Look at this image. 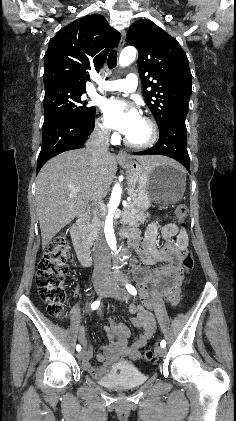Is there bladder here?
I'll return each mask as SVG.
<instances>
[{
  "label": "bladder",
  "instance_id": "bladder-1",
  "mask_svg": "<svg viewBox=\"0 0 236 421\" xmlns=\"http://www.w3.org/2000/svg\"><path fill=\"white\" fill-rule=\"evenodd\" d=\"M145 379V376L136 372L122 371L118 372L116 376L111 375L107 380V386L114 389H127L143 384Z\"/></svg>",
  "mask_w": 236,
  "mask_h": 421
}]
</instances>
